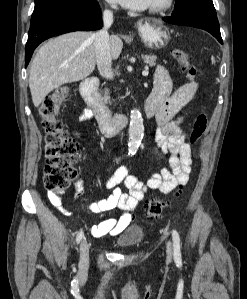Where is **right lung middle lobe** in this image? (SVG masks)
Listing matches in <instances>:
<instances>
[{
    "instance_id": "obj_1",
    "label": "right lung middle lobe",
    "mask_w": 247,
    "mask_h": 299,
    "mask_svg": "<svg viewBox=\"0 0 247 299\" xmlns=\"http://www.w3.org/2000/svg\"><path fill=\"white\" fill-rule=\"evenodd\" d=\"M95 0H35V8L31 17L30 25L59 12L61 10L89 4Z\"/></svg>"
}]
</instances>
